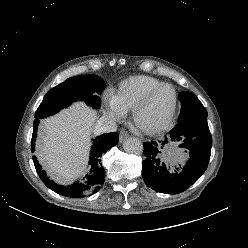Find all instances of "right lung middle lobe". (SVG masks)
Returning a JSON list of instances; mask_svg holds the SVG:
<instances>
[{"instance_id":"right-lung-middle-lobe-1","label":"right lung middle lobe","mask_w":248,"mask_h":248,"mask_svg":"<svg viewBox=\"0 0 248 248\" xmlns=\"http://www.w3.org/2000/svg\"><path fill=\"white\" fill-rule=\"evenodd\" d=\"M104 88V81L96 75L68 78L45 95L35 113V118L41 119L53 115L76 100H84L88 105L98 108L101 104L98 95Z\"/></svg>"}]
</instances>
